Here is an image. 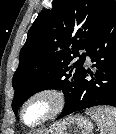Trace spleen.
<instances>
[{"instance_id": "obj_1", "label": "spleen", "mask_w": 116, "mask_h": 134, "mask_svg": "<svg viewBox=\"0 0 116 134\" xmlns=\"http://www.w3.org/2000/svg\"><path fill=\"white\" fill-rule=\"evenodd\" d=\"M87 114L96 121L100 134H116V108L97 107L87 110Z\"/></svg>"}]
</instances>
